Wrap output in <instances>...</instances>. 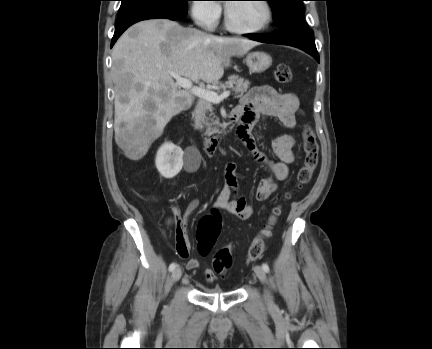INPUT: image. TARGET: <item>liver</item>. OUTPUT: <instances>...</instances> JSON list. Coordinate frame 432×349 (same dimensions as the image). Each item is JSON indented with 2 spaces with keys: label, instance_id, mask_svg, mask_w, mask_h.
<instances>
[{
  "label": "liver",
  "instance_id": "obj_1",
  "mask_svg": "<svg viewBox=\"0 0 432 349\" xmlns=\"http://www.w3.org/2000/svg\"><path fill=\"white\" fill-rule=\"evenodd\" d=\"M259 43L218 37L185 28L168 19L135 24L112 51L115 92V141L126 157L140 160L173 116L193 102L170 72L194 83L218 81L231 57L243 56Z\"/></svg>",
  "mask_w": 432,
  "mask_h": 349
}]
</instances>
